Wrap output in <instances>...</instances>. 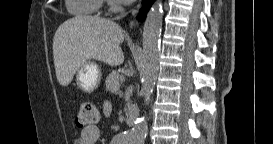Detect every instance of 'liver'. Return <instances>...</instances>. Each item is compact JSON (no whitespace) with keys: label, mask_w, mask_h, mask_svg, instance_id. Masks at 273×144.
I'll use <instances>...</instances> for the list:
<instances>
[{"label":"liver","mask_w":273,"mask_h":144,"mask_svg":"<svg viewBox=\"0 0 273 144\" xmlns=\"http://www.w3.org/2000/svg\"><path fill=\"white\" fill-rule=\"evenodd\" d=\"M122 28L115 22L93 16L78 15L62 23L53 39V58L60 85L71 83L77 69L95 59L119 66L124 62L120 44Z\"/></svg>","instance_id":"obj_1"}]
</instances>
